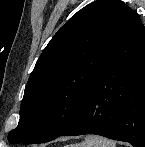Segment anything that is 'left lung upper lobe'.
Masks as SVG:
<instances>
[{
	"mask_svg": "<svg viewBox=\"0 0 145 147\" xmlns=\"http://www.w3.org/2000/svg\"><path fill=\"white\" fill-rule=\"evenodd\" d=\"M129 9L120 0H97L59 29L26 84L11 143L48 142L73 125Z\"/></svg>",
	"mask_w": 145,
	"mask_h": 147,
	"instance_id": "1",
	"label": "left lung upper lobe"
}]
</instances>
